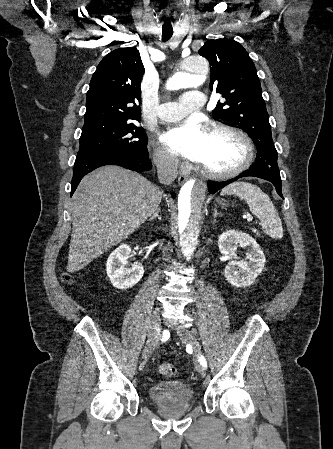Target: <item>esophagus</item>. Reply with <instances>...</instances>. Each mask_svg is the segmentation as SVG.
<instances>
[{"label": "esophagus", "instance_id": "34e87169", "mask_svg": "<svg viewBox=\"0 0 333 449\" xmlns=\"http://www.w3.org/2000/svg\"><path fill=\"white\" fill-rule=\"evenodd\" d=\"M186 177L185 176H179L178 177V182H179V184H183L185 181H186Z\"/></svg>", "mask_w": 333, "mask_h": 449}]
</instances>
